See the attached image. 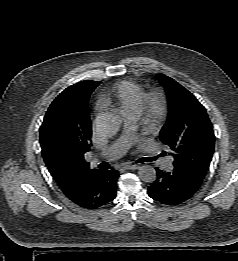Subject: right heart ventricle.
Masks as SVG:
<instances>
[{
  "mask_svg": "<svg viewBox=\"0 0 238 261\" xmlns=\"http://www.w3.org/2000/svg\"><path fill=\"white\" fill-rule=\"evenodd\" d=\"M144 88L137 82L124 80L115 84L103 97L104 102L117 106L125 117H138Z\"/></svg>",
  "mask_w": 238,
  "mask_h": 261,
  "instance_id": "e07e8e85",
  "label": "right heart ventricle"
}]
</instances>
